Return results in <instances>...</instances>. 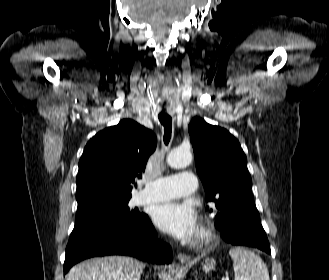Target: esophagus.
I'll list each match as a JSON object with an SVG mask.
<instances>
[{
    "mask_svg": "<svg viewBox=\"0 0 329 280\" xmlns=\"http://www.w3.org/2000/svg\"><path fill=\"white\" fill-rule=\"evenodd\" d=\"M177 258L182 263H187L190 261V256L184 253L178 254Z\"/></svg>",
    "mask_w": 329,
    "mask_h": 280,
    "instance_id": "esophagus-1",
    "label": "esophagus"
}]
</instances>
